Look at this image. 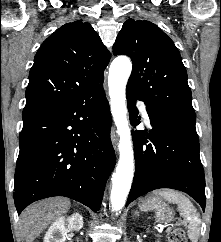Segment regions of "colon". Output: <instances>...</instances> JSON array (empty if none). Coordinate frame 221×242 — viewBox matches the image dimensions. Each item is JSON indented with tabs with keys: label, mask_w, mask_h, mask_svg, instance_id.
<instances>
[{
	"label": "colon",
	"mask_w": 221,
	"mask_h": 242,
	"mask_svg": "<svg viewBox=\"0 0 221 242\" xmlns=\"http://www.w3.org/2000/svg\"><path fill=\"white\" fill-rule=\"evenodd\" d=\"M169 242H188L185 230L182 228L174 229L170 234Z\"/></svg>",
	"instance_id": "obj_1"
}]
</instances>
